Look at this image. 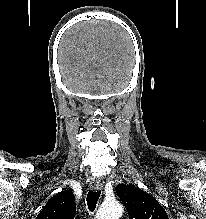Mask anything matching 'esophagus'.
<instances>
[{
  "label": "esophagus",
  "instance_id": "obj_1",
  "mask_svg": "<svg viewBox=\"0 0 206 219\" xmlns=\"http://www.w3.org/2000/svg\"><path fill=\"white\" fill-rule=\"evenodd\" d=\"M90 188H91L93 191L101 190V189H102V184H101L100 180H95V181H93V182L90 184Z\"/></svg>",
  "mask_w": 206,
  "mask_h": 219
}]
</instances>
